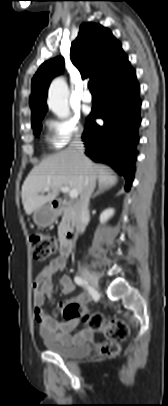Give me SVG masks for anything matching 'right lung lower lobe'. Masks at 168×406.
I'll return each mask as SVG.
<instances>
[{"instance_id":"1","label":"right lung lower lobe","mask_w":168,"mask_h":406,"mask_svg":"<svg viewBox=\"0 0 168 406\" xmlns=\"http://www.w3.org/2000/svg\"><path fill=\"white\" fill-rule=\"evenodd\" d=\"M100 104L95 106L86 121L83 141L85 154L95 162L109 164L125 177V189L132 185L135 172L139 110V84L129 65L121 73L98 87ZM94 118H102L99 126Z\"/></svg>"}]
</instances>
